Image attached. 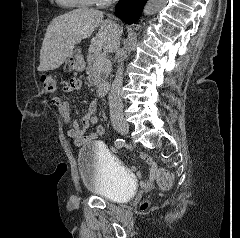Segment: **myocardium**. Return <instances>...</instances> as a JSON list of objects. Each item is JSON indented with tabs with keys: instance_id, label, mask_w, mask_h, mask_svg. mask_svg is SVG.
<instances>
[{
	"instance_id": "1",
	"label": "myocardium",
	"mask_w": 240,
	"mask_h": 238,
	"mask_svg": "<svg viewBox=\"0 0 240 238\" xmlns=\"http://www.w3.org/2000/svg\"><path fill=\"white\" fill-rule=\"evenodd\" d=\"M83 3L87 5L101 4L103 0H81Z\"/></svg>"
}]
</instances>
